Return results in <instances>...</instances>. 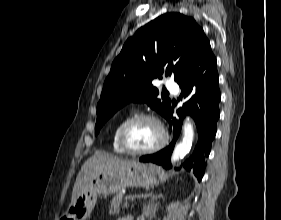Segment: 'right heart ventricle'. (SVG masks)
Returning a JSON list of instances; mask_svg holds the SVG:
<instances>
[{"mask_svg": "<svg viewBox=\"0 0 281 220\" xmlns=\"http://www.w3.org/2000/svg\"><path fill=\"white\" fill-rule=\"evenodd\" d=\"M127 119H128L127 117H124V118L120 119V120L116 123V125H115V127H114V129H113V131H112V134H111V146H112V150H113L116 154H120V155L126 154V152L123 151V150L121 149V147L119 146V143H118V131H119L121 125H122Z\"/></svg>", "mask_w": 281, "mask_h": 220, "instance_id": "1", "label": "right heart ventricle"}]
</instances>
